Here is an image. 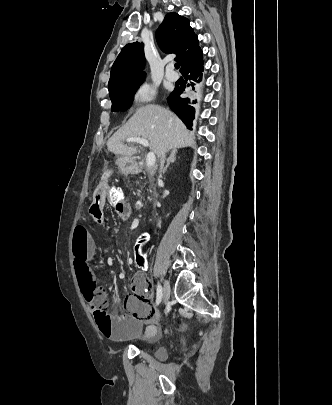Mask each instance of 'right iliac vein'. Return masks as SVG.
Returning a JSON list of instances; mask_svg holds the SVG:
<instances>
[{"label": "right iliac vein", "instance_id": "1", "mask_svg": "<svg viewBox=\"0 0 332 405\" xmlns=\"http://www.w3.org/2000/svg\"><path fill=\"white\" fill-rule=\"evenodd\" d=\"M170 297V285L168 281L163 284L162 298L164 302H167Z\"/></svg>", "mask_w": 332, "mask_h": 405}]
</instances>
